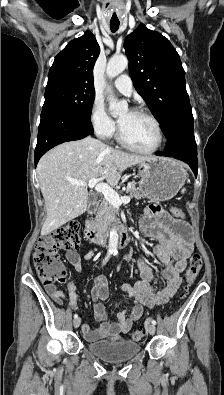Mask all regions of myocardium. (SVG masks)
<instances>
[{
  "instance_id": "f54148a6",
  "label": "myocardium",
  "mask_w": 224,
  "mask_h": 395,
  "mask_svg": "<svg viewBox=\"0 0 224 395\" xmlns=\"http://www.w3.org/2000/svg\"><path fill=\"white\" fill-rule=\"evenodd\" d=\"M131 111L134 113L146 116L148 119H150L153 122V124L156 127V131H157V136H158L157 142L153 147L148 148V149H143V148L134 146L129 141H127L126 138L123 136L119 125H118V129H117L118 142L125 148H127L131 151L137 152V153L152 154V153L157 152L161 148L163 141H164V134H163V129H162L161 123L159 122V120L157 119V117L154 114H152L149 110H147L145 108L135 107Z\"/></svg>"
}]
</instances>
